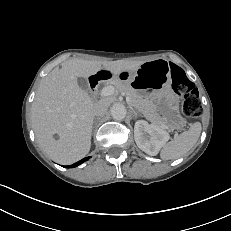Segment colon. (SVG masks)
<instances>
[{
  "instance_id": "5ec220e1",
  "label": "colon",
  "mask_w": 231,
  "mask_h": 231,
  "mask_svg": "<svg viewBox=\"0 0 231 231\" xmlns=\"http://www.w3.org/2000/svg\"><path fill=\"white\" fill-rule=\"evenodd\" d=\"M172 87L179 95L184 97L182 109L186 116L198 117L202 114L198 90L195 84L179 68H174Z\"/></svg>"
}]
</instances>
